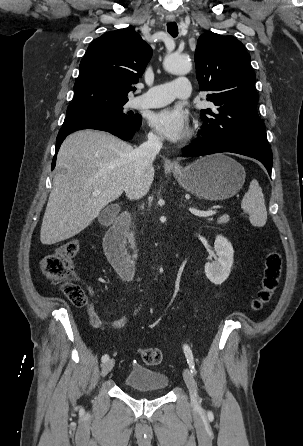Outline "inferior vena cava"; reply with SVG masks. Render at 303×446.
Wrapping results in <instances>:
<instances>
[{
  "instance_id": "602c4592",
  "label": "inferior vena cava",
  "mask_w": 303,
  "mask_h": 446,
  "mask_svg": "<svg viewBox=\"0 0 303 446\" xmlns=\"http://www.w3.org/2000/svg\"><path fill=\"white\" fill-rule=\"evenodd\" d=\"M161 148L162 140L154 134H149L148 140L134 150L136 176L140 177L146 168L152 165Z\"/></svg>"
}]
</instances>
